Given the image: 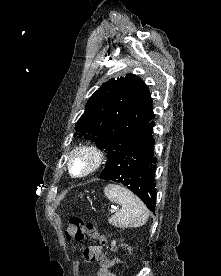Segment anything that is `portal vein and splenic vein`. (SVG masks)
<instances>
[{
	"instance_id": "18ae733b",
	"label": "portal vein and splenic vein",
	"mask_w": 221,
	"mask_h": 276,
	"mask_svg": "<svg viewBox=\"0 0 221 276\" xmlns=\"http://www.w3.org/2000/svg\"><path fill=\"white\" fill-rule=\"evenodd\" d=\"M115 210H117V208L115 207V208H112L111 210H110V212L111 213H114L115 212Z\"/></svg>"
}]
</instances>
